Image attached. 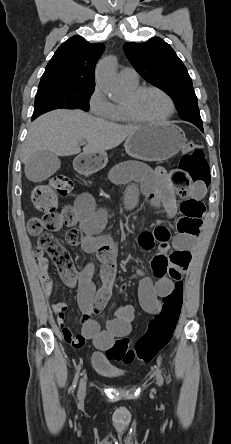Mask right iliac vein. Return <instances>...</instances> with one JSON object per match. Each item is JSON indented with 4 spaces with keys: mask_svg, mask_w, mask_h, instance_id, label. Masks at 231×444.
I'll return each mask as SVG.
<instances>
[{
    "mask_svg": "<svg viewBox=\"0 0 231 444\" xmlns=\"http://www.w3.org/2000/svg\"><path fill=\"white\" fill-rule=\"evenodd\" d=\"M86 393V379L83 378L80 381L79 390H78V398L82 400L85 397Z\"/></svg>",
    "mask_w": 231,
    "mask_h": 444,
    "instance_id": "obj_1",
    "label": "right iliac vein"
}]
</instances>
